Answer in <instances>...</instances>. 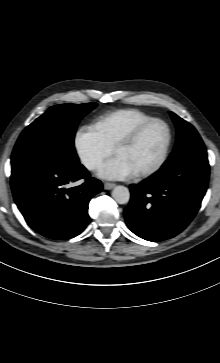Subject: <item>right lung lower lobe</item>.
<instances>
[{
    "label": "right lung lower lobe",
    "mask_w": 220,
    "mask_h": 363,
    "mask_svg": "<svg viewBox=\"0 0 220 363\" xmlns=\"http://www.w3.org/2000/svg\"><path fill=\"white\" fill-rule=\"evenodd\" d=\"M79 179L85 182L65 188ZM16 205L28 225L39 234L56 240L77 236L87 225L88 203L102 190L81 165L67 166L51 160L28 162L11 173Z\"/></svg>",
    "instance_id": "right-lung-lower-lobe-1"
}]
</instances>
